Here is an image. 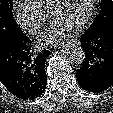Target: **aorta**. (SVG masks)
Instances as JSON below:
<instances>
[{
    "label": "aorta",
    "mask_w": 113,
    "mask_h": 113,
    "mask_svg": "<svg viewBox=\"0 0 113 113\" xmlns=\"http://www.w3.org/2000/svg\"><path fill=\"white\" fill-rule=\"evenodd\" d=\"M63 55L69 62L76 65H81L85 60L83 48L72 42H68L63 46Z\"/></svg>",
    "instance_id": "1"
}]
</instances>
